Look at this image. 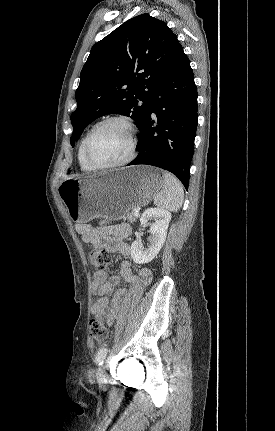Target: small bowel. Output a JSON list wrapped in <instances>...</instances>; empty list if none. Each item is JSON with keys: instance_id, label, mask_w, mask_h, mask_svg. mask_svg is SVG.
<instances>
[{"instance_id": "small-bowel-1", "label": "small bowel", "mask_w": 275, "mask_h": 431, "mask_svg": "<svg viewBox=\"0 0 275 431\" xmlns=\"http://www.w3.org/2000/svg\"><path fill=\"white\" fill-rule=\"evenodd\" d=\"M75 229L85 243L91 244L97 249L120 253L124 257L118 275L109 277L103 271L96 272L92 282V292L97 297L93 299L90 310L96 318L103 319L108 325H112L122 310L124 300L128 297L127 290L116 289L121 279L129 284H134L138 277L147 281L150 274L147 270L134 268L128 260L130 246L125 241L131 231L128 224L103 223L93 226L88 223H78Z\"/></svg>"}]
</instances>
